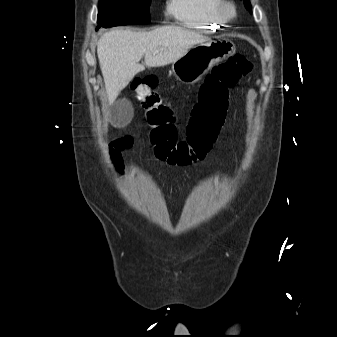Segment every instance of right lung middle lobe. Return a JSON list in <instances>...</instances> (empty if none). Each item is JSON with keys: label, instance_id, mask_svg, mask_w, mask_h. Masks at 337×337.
I'll list each match as a JSON object with an SVG mask.
<instances>
[{"label": "right lung middle lobe", "instance_id": "obj_1", "mask_svg": "<svg viewBox=\"0 0 337 337\" xmlns=\"http://www.w3.org/2000/svg\"><path fill=\"white\" fill-rule=\"evenodd\" d=\"M151 0H99L98 26L112 27L150 22Z\"/></svg>", "mask_w": 337, "mask_h": 337}]
</instances>
